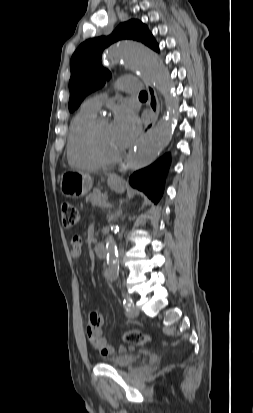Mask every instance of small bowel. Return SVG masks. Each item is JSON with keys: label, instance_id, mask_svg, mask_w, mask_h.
I'll return each mask as SVG.
<instances>
[{"label": "small bowel", "instance_id": "obj_1", "mask_svg": "<svg viewBox=\"0 0 253 413\" xmlns=\"http://www.w3.org/2000/svg\"><path fill=\"white\" fill-rule=\"evenodd\" d=\"M71 255L79 257L81 255V241L78 237L72 240ZM102 318L97 313H91L88 317L86 326V335L89 344L97 349L100 354L108 355L114 351V348L107 343V340L101 335Z\"/></svg>", "mask_w": 253, "mask_h": 413}]
</instances>
